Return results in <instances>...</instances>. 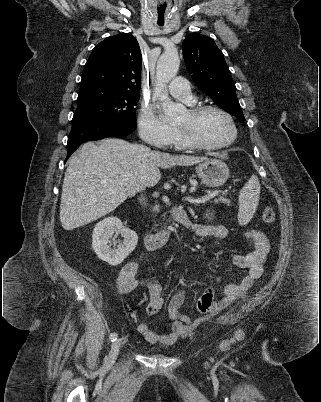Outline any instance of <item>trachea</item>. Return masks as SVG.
Instances as JSON below:
<instances>
[{
	"mask_svg": "<svg viewBox=\"0 0 321 402\" xmlns=\"http://www.w3.org/2000/svg\"><path fill=\"white\" fill-rule=\"evenodd\" d=\"M159 26H163V24H159Z\"/></svg>",
	"mask_w": 321,
	"mask_h": 402,
	"instance_id": "1",
	"label": "trachea"
}]
</instances>
